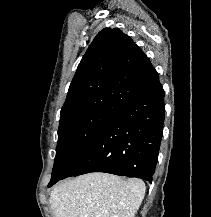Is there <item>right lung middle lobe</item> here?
<instances>
[{"label":"right lung middle lobe","instance_id":"right-lung-middle-lobe-1","mask_svg":"<svg viewBox=\"0 0 211 217\" xmlns=\"http://www.w3.org/2000/svg\"><path fill=\"white\" fill-rule=\"evenodd\" d=\"M117 112H94L59 124L52 179L63 176L89 149Z\"/></svg>","mask_w":211,"mask_h":217}]
</instances>
